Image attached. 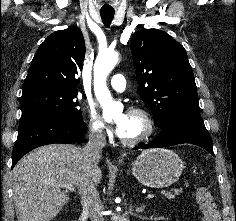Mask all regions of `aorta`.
<instances>
[{
  "mask_svg": "<svg viewBox=\"0 0 236 221\" xmlns=\"http://www.w3.org/2000/svg\"><path fill=\"white\" fill-rule=\"evenodd\" d=\"M119 56L114 51L100 53L94 64V90L100 102L105 119H112L120 115L123 106L114 101L106 85V78L117 64Z\"/></svg>",
  "mask_w": 236,
  "mask_h": 221,
  "instance_id": "762f6f07",
  "label": "aorta"
}]
</instances>
